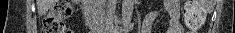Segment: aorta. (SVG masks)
<instances>
[{"mask_svg": "<svg viewBox=\"0 0 235 33\" xmlns=\"http://www.w3.org/2000/svg\"><path fill=\"white\" fill-rule=\"evenodd\" d=\"M134 0H123L122 2V20L125 25L129 24L133 14Z\"/></svg>", "mask_w": 235, "mask_h": 33, "instance_id": "obj_1", "label": "aorta"}]
</instances>
